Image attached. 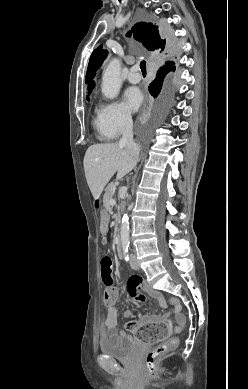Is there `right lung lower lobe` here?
<instances>
[{"label": "right lung lower lobe", "instance_id": "obj_1", "mask_svg": "<svg viewBox=\"0 0 248 389\" xmlns=\"http://www.w3.org/2000/svg\"><path fill=\"white\" fill-rule=\"evenodd\" d=\"M164 34H165V37H166L167 40H168V43L171 44V45H175V43H174L172 37L170 36V34H168V33H164ZM153 82H154V81H153ZM153 82H152V83L150 84V86H149V91H150V93L152 92L153 88H155L156 85L158 84V83L153 84Z\"/></svg>", "mask_w": 248, "mask_h": 389}]
</instances>
